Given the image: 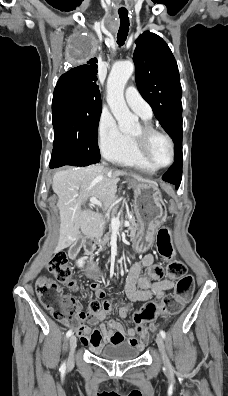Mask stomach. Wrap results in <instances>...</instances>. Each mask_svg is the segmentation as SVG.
<instances>
[{"instance_id":"obj_1","label":"stomach","mask_w":228,"mask_h":396,"mask_svg":"<svg viewBox=\"0 0 228 396\" xmlns=\"http://www.w3.org/2000/svg\"><path fill=\"white\" fill-rule=\"evenodd\" d=\"M135 195V214L139 223L133 236L136 252H146L153 243L154 234L166 220L167 212L157 184L153 182L130 181Z\"/></svg>"}]
</instances>
